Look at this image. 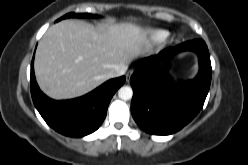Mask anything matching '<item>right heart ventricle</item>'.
<instances>
[{
    "mask_svg": "<svg viewBox=\"0 0 248 165\" xmlns=\"http://www.w3.org/2000/svg\"><path fill=\"white\" fill-rule=\"evenodd\" d=\"M168 33L164 30H152L149 33V37L154 42H160L167 37Z\"/></svg>",
    "mask_w": 248,
    "mask_h": 165,
    "instance_id": "e07e8e85",
    "label": "right heart ventricle"
}]
</instances>
